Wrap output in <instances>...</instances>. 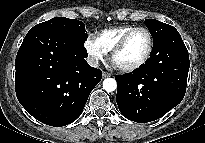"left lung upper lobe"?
I'll list each match as a JSON object with an SVG mask.
<instances>
[{"mask_svg":"<svg viewBox=\"0 0 205 143\" xmlns=\"http://www.w3.org/2000/svg\"><path fill=\"white\" fill-rule=\"evenodd\" d=\"M145 25L153 37V43H156L166 37L168 34L177 31L173 26L162 23L155 19H146Z\"/></svg>","mask_w":205,"mask_h":143,"instance_id":"5c2ea615","label":"left lung upper lobe"}]
</instances>
